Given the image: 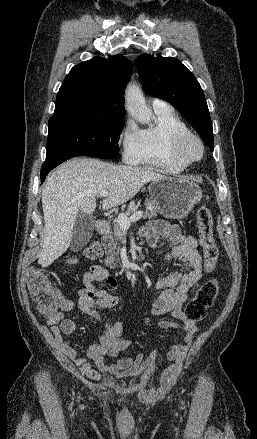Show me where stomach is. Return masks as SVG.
I'll list each match as a JSON object with an SVG mask.
<instances>
[{
	"label": "stomach",
	"instance_id": "stomach-1",
	"mask_svg": "<svg viewBox=\"0 0 257 439\" xmlns=\"http://www.w3.org/2000/svg\"><path fill=\"white\" fill-rule=\"evenodd\" d=\"M149 193L166 217L184 218L202 199L200 186L185 177H163L151 182Z\"/></svg>",
	"mask_w": 257,
	"mask_h": 439
}]
</instances>
